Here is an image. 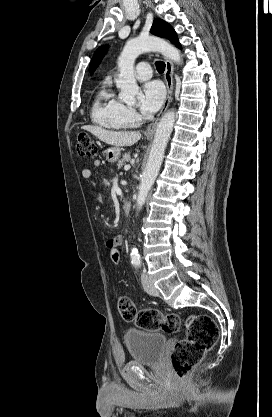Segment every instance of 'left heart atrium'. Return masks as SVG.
Masks as SVG:
<instances>
[{
  "mask_svg": "<svg viewBox=\"0 0 272 417\" xmlns=\"http://www.w3.org/2000/svg\"><path fill=\"white\" fill-rule=\"evenodd\" d=\"M165 98V89L158 81H150L143 85L140 96V109L144 114L156 112Z\"/></svg>",
  "mask_w": 272,
  "mask_h": 417,
  "instance_id": "left-heart-atrium-1",
  "label": "left heart atrium"
}]
</instances>
